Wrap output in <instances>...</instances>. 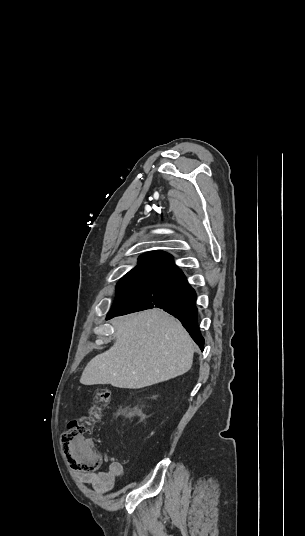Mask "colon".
Wrapping results in <instances>:
<instances>
[{
    "mask_svg": "<svg viewBox=\"0 0 305 536\" xmlns=\"http://www.w3.org/2000/svg\"><path fill=\"white\" fill-rule=\"evenodd\" d=\"M109 400V390H99L87 415L71 421L67 435H61V452L66 454L70 471H106L107 462L100 460V450L90 434Z\"/></svg>",
    "mask_w": 305,
    "mask_h": 536,
    "instance_id": "1",
    "label": "colon"
}]
</instances>
